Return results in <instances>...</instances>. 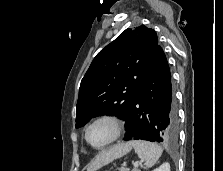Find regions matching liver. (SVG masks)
Segmentation results:
<instances>
[{
  "instance_id": "liver-1",
  "label": "liver",
  "mask_w": 223,
  "mask_h": 171,
  "mask_svg": "<svg viewBox=\"0 0 223 171\" xmlns=\"http://www.w3.org/2000/svg\"><path fill=\"white\" fill-rule=\"evenodd\" d=\"M131 149L132 145L128 142L119 143L110 147L108 150H103L87 165V171H97L102 166L126 155Z\"/></svg>"
}]
</instances>
